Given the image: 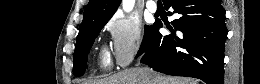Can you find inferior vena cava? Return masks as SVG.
<instances>
[{"label":"inferior vena cava","mask_w":260,"mask_h":84,"mask_svg":"<svg viewBox=\"0 0 260 84\" xmlns=\"http://www.w3.org/2000/svg\"><path fill=\"white\" fill-rule=\"evenodd\" d=\"M142 69L147 70L148 68L146 66L142 67Z\"/></svg>","instance_id":"inferior-vena-cava-1"}]
</instances>
